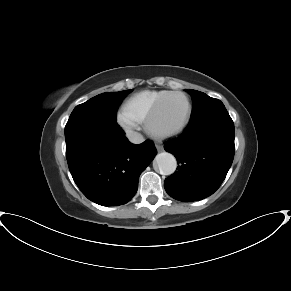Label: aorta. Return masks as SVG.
Segmentation results:
<instances>
[{"mask_svg":"<svg viewBox=\"0 0 291 291\" xmlns=\"http://www.w3.org/2000/svg\"><path fill=\"white\" fill-rule=\"evenodd\" d=\"M155 161L160 174L171 175L177 168L176 158L168 152H162L157 154Z\"/></svg>","mask_w":291,"mask_h":291,"instance_id":"762f6f07","label":"aorta"}]
</instances>
